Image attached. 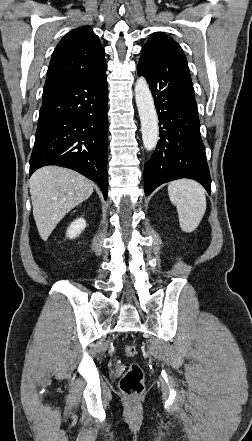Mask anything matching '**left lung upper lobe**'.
I'll return each instance as SVG.
<instances>
[{
	"instance_id": "left-lung-upper-lobe-1",
	"label": "left lung upper lobe",
	"mask_w": 252,
	"mask_h": 441,
	"mask_svg": "<svg viewBox=\"0 0 252 441\" xmlns=\"http://www.w3.org/2000/svg\"><path fill=\"white\" fill-rule=\"evenodd\" d=\"M164 44H172V45H176L179 48H181L173 39H171L170 37L164 35L161 32H156L153 33L149 40L147 41L146 45L143 47V49L141 50V52L143 51H149L155 47H158L160 45H164Z\"/></svg>"
}]
</instances>
